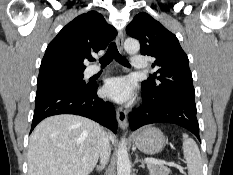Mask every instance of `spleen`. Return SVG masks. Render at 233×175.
Listing matches in <instances>:
<instances>
[{"label":"spleen","instance_id":"3e777b00","mask_svg":"<svg viewBox=\"0 0 233 175\" xmlns=\"http://www.w3.org/2000/svg\"><path fill=\"white\" fill-rule=\"evenodd\" d=\"M183 154L187 163L188 175H202V159L196 142L183 134Z\"/></svg>","mask_w":233,"mask_h":175}]
</instances>
